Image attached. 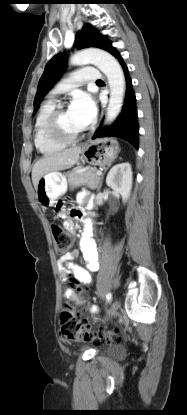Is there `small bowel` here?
I'll list each match as a JSON object with an SVG mask.
<instances>
[{
  "instance_id": "small-bowel-1",
  "label": "small bowel",
  "mask_w": 187,
  "mask_h": 415,
  "mask_svg": "<svg viewBox=\"0 0 187 415\" xmlns=\"http://www.w3.org/2000/svg\"><path fill=\"white\" fill-rule=\"evenodd\" d=\"M81 200H85V197H82ZM71 215L75 218L84 220L86 228L89 230L90 222L88 217H86L83 213L77 210H72ZM64 225L67 229L71 231L74 230V222L71 219H67ZM80 250L83 254L86 267L84 268L78 266L73 262L79 254V252L75 250L59 258V274L63 281H66L69 277H73L81 285H90L92 283L91 272L97 271L99 264L97 247L94 240L91 238L89 231H87L85 236L81 239ZM63 296L72 303H83L81 297L75 291L74 288H65L63 290ZM90 312L91 314H97L98 307L96 305H92L90 307Z\"/></svg>"
}]
</instances>
